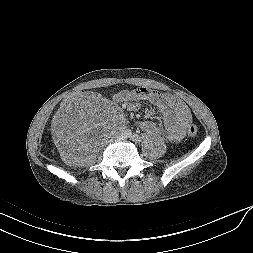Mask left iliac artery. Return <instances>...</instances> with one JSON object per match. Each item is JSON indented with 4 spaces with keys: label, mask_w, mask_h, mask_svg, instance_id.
<instances>
[{
    "label": "left iliac artery",
    "mask_w": 253,
    "mask_h": 253,
    "mask_svg": "<svg viewBox=\"0 0 253 253\" xmlns=\"http://www.w3.org/2000/svg\"><path fill=\"white\" fill-rule=\"evenodd\" d=\"M131 138H132V140H133L135 143H138V142L141 141V138H140V136H139L138 134H133V135H131Z\"/></svg>",
    "instance_id": "1"
}]
</instances>
